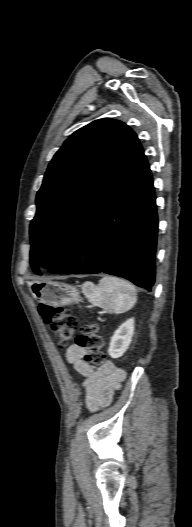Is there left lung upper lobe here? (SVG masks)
<instances>
[{
    "instance_id": "1",
    "label": "left lung upper lobe",
    "mask_w": 192,
    "mask_h": 527,
    "mask_svg": "<svg viewBox=\"0 0 192 527\" xmlns=\"http://www.w3.org/2000/svg\"><path fill=\"white\" fill-rule=\"evenodd\" d=\"M143 154L131 128L103 118L74 132L51 160L30 225V263L50 269L117 180Z\"/></svg>"
}]
</instances>
